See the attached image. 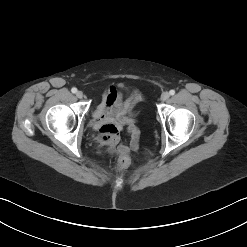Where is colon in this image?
Instances as JSON below:
<instances>
[{
  "label": "colon",
  "instance_id": "1",
  "mask_svg": "<svg viewBox=\"0 0 247 247\" xmlns=\"http://www.w3.org/2000/svg\"><path fill=\"white\" fill-rule=\"evenodd\" d=\"M130 163V158L127 155H119L115 164V171L117 173H123Z\"/></svg>",
  "mask_w": 247,
  "mask_h": 247
}]
</instances>
